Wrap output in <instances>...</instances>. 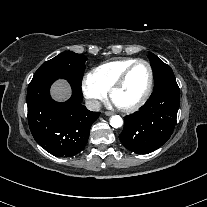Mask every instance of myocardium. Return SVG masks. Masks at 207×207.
Segmentation results:
<instances>
[{
    "instance_id": "f54148a6",
    "label": "myocardium",
    "mask_w": 207,
    "mask_h": 207,
    "mask_svg": "<svg viewBox=\"0 0 207 207\" xmlns=\"http://www.w3.org/2000/svg\"><path fill=\"white\" fill-rule=\"evenodd\" d=\"M138 64H144L147 67L148 76H149L148 84H147L146 90L143 93L142 97L134 104H131L129 106L116 105L120 111L125 112V113H130V112H134V111L138 110L148 100V98L151 94L152 88H153V84H154L153 69H152L150 63L147 62L146 60H143V59L135 60L120 74V76L116 79V81L113 83V85L111 86V88L109 90V97L113 101V96L116 93V91L119 90L123 86L126 78L128 77L129 73L131 72V70Z\"/></svg>"
}]
</instances>
